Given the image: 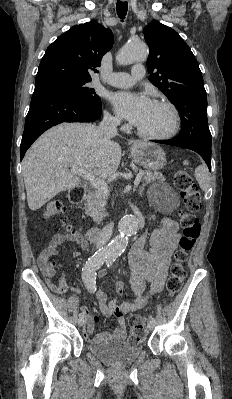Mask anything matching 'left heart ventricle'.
<instances>
[{"instance_id":"left-heart-ventricle-1","label":"left heart ventricle","mask_w":232,"mask_h":399,"mask_svg":"<svg viewBox=\"0 0 232 399\" xmlns=\"http://www.w3.org/2000/svg\"><path fill=\"white\" fill-rule=\"evenodd\" d=\"M172 125L171 110L163 105L151 104L148 113L136 128L144 134L157 136L167 133Z\"/></svg>"}]
</instances>
